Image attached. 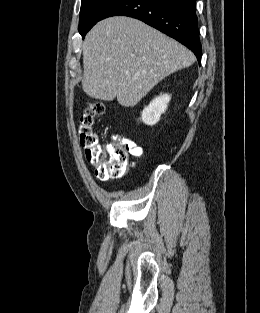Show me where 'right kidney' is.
<instances>
[{
  "mask_svg": "<svg viewBox=\"0 0 260 313\" xmlns=\"http://www.w3.org/2000/svg\"><path fill=\"white\" fill-rule=\"evenodd\" d=\"M171 96L163 94L155 97L142 111L141 119L146 125H155L166 111Z\"/></svg>",
  "mask_w": 260,
  "mask_h": 313,
  "instance_id": "right-kidney-1",
  "label": "right kidney"
}]
</instances>
